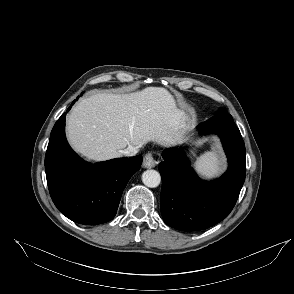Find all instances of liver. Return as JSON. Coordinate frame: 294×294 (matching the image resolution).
Returning <instances> with one entry per match:
<instances>
[{"label":"liver","instance_id":"liver-1","mask_svg":"<svg viewBox=\"0 0 294 294\" xmlns=\"http://www.w3.org/2000/svg\"><path fill=\"white\" fill-rule=\"evenodd\" d=\"M185 118L161 87L124 95L97 93L82 99L68 115L67 138L82 156L104 161L120 157L127 146L181 143Z\"/></svg>","mask_w":294,"mask_h":294}]
</instances>
